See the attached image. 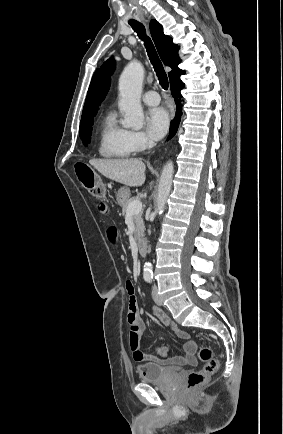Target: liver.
Wrapping results in <instances>:
<instances>
[{
	"instance_id": "6515ba94",
	"label": "liver",
	"mask_w": 283,
	"mask_h": 434,
	"mask_svg": "<svg viewBox=\"0 0 283 434\" xmlns=\"http://www.w3.org/2000/svg\"><path fill=\"white\" fill-rule=\"evenodd\" d=\"M89 164L106 178L130 187L145 182V164L140 159H91Z\"/></svg>"
}]
</instances>
